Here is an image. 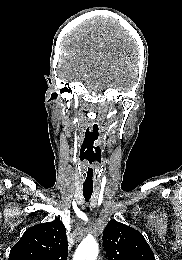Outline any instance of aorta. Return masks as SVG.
Wrapping results in <instances>:
<instances>
[{"mask_svg": "<svg viewBox=\"0 0 182 260\" xmlns=\"http://www.w3.org/2000/svg\"><path fill=\"white\" fill-rule=\"evenodd\" d=\"M98 243L93 237L85 238L75 251L73 260H97Z\"/></svg>", "mask_w": 182, "mask_h": 260, "instance_id": "1", "label": "aorta"}]
</instances>
